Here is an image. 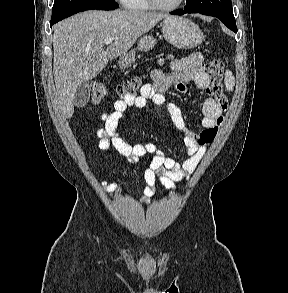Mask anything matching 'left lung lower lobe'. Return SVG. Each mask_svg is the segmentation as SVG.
Masks as SVG:
<instances>
[{"label":"left lung lower lobe","instance_id":"0a47b994","mask_svg":"<svg viewBox=\"0 0 288 293\" xmlns=\"http://www.w3.org/2000/svg\"><path fill=\"white\" fill-rule=\"evenodd\" d=\"M185 13H201L204 15H209L213 17L219 18L229 29H231L234 32H237V27L235 23V18H228L223 15L217 14V13H212V12H204V11H196L188 8H184V10H176L171 12L173 15H183Z\"/></svg>","mask_w":288,"mask_h":293}]
</instances>
